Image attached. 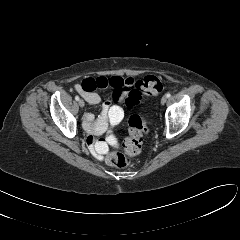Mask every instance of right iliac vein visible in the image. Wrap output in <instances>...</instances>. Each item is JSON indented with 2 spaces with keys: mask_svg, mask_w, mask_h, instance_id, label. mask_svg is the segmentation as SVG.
<instances>
[{
  "mask_svg": "<svg viewBox=\"0 0 240 240\" xmlns=\"http://www.w3.org/2000/svg\"><path fill=\"white\" fill-rule=\"evenodd\" d=\"M78 103L80 107H84L85 105V102L82 99H80Z\"/></svg>",
  "mask_w": 240,
  "mask_h": 240,
  "instance_id": "63e3f726",
  "label": "right iliac vein"
}]
</instances>
